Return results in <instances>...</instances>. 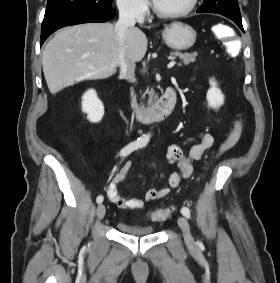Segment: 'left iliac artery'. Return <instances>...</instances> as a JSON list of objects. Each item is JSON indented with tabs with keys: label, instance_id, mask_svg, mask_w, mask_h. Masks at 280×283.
<instances>
[{
	"label": "left iliac artery",
	"instance_id": "left-iliac-artery-1",
	"mask_svg": "<svg viewBox=\"0 0 280 283\" xmlns=\"http://www.w3.org/2000/svg\"><path fill=\"white\" fill-rule=\"evenodd\" d=\"M181 213H182V215L185 216L187 219H190L191 213H190L189 208H187V207H182V208H181Z\"/></svg>",
	"mask_w": 280,
	"mask_h": 283
}]
</instances>
